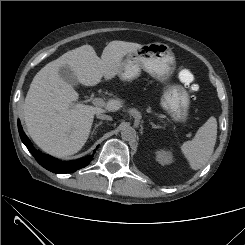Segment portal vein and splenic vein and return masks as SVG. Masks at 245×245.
I'll return each mask as SVG.
<instances>
[{
    "label": "portal vein and splenic vein",
    "mask_w": 245,
    "mask_h": 245,
    "mask_svg": "<svg viewBox=\"0 0 245 245\" xmlns=\"http://www.w3.org/2000/svg\"><path fill=\"white\" fill-rule=\"evenodd\" d=\"M92 103L96 106H99V107L106 106V102L101 98H93Z\"/></svg>",
    "instance_id": "1"
}]
</instances>
